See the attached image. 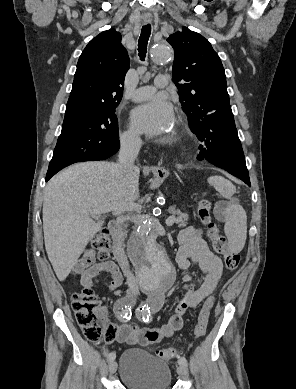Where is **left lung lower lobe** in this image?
<instances>
[{
  "instance_id": "1",
  "label": "left lung lower lobe",
  "mask_w": 296,
  "mask_h": 389,
  "mask_svg": "<svg viewBox=\"0 0 296 389\" xmlns=\"http://www.w3.org/2000/svg\"><path fill=\"white\" fill-rule=\"evenodd\" d=\"M198 129V160H207L251 186L244 153L238 137L231 106L204 118Z\"/></svg>"
}]
</instances>
